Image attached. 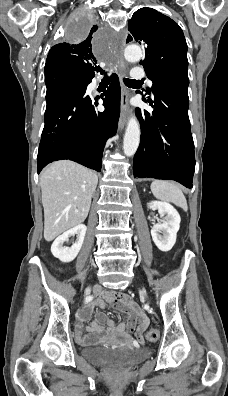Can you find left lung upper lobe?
<instances>
[{
  "label": "left lung upper lobe",
  "mask_w": 228,
  "mask_h": 396,
  "mask_svg": "<svg viewBox=\"0 0 228 396\" xmlns=\"http://www.w3.org/2000/svg\"><path fill=\"white\" fill-rule=\"evenodd\" d=\"M128 30L131 32L128 41L134 39L145 48V58L140 64L153 82L152 93L155 85L188 89V47L183 31L175 21L155 9L144 7L133 14Z\"/></svg>",
  "instance_id": "1"
}]
</instances>
